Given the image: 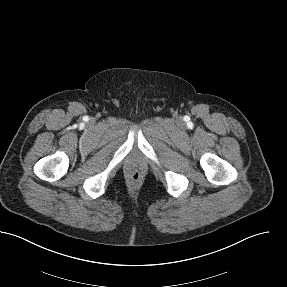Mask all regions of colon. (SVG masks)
<instances>
[{"label": "colon", "instance_id": "1", "mask_svg": "<svg viewBox=\"0 0 287 287\" xmlns=\"http://www.w3.org/2000/svg\"><path fill=\"white\" fill-rule=\"evenodd\" d=\"M132 176H133L134 178H138V177H139V172H138V171H134V172L132 173Z\"/></svg>", "mask_w": 287, "mask_h": 287}]
</instances>
